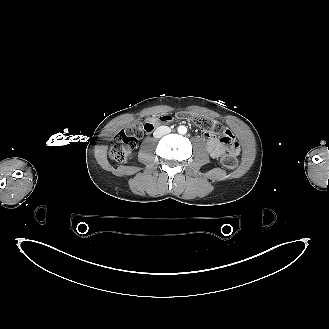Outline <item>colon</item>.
Segmentation results:
<instances>
[{"instance_id": "5ec220e1", "label": "colon", "mask_w": 329, "mask_h": 329, "mask_svg": "<svg viewBox=\"0 0 329 329\" xmlns=\"http://www.w3.org/2000/svg\"><path fill=\"white\" fill-rule=\"evenodd\" d=\"M178 118L188 119L194 122L205 134L210 136H222L221 141L231 150L238 148L234 137L228 130L217 120L201 114L178 113ZM153 121L142 123L134 121L127 128L121 130L114 137L110 146V157L117 162L127 160L131 150L136 146L137 140L145 131L152 130ZM222 164L228 169H234L238 165V159L233 152H229L221 158Z\"/></svg>"}]
</instances>
